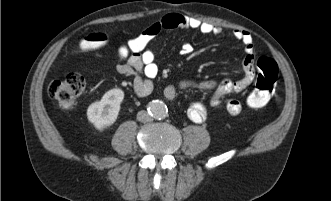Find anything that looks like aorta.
<instances>
[{
	"label": "aorta",
	"instance_id": "762f6f07",
	"mask_svg": "<svg viewBox=\"0 0 331 201\" xmlns=\"http://www.w3.org/2000/svg\"><path fill=\"white\" fill-rule=\"evenodd\" d=\"M167 111V106L160 100H155L150 104V113L154 118H164L167 115Z\"/></svg>",
	"mask_w": 331,
	"mask_h": 201
}]
</instances>
